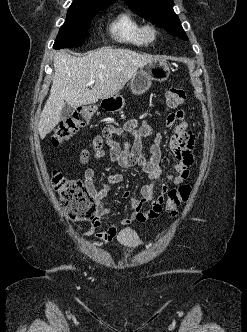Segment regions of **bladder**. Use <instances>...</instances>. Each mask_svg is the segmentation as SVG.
Wrapping results in <instances>:
<instances>
[{
  "label": "bladder",
  "mask_w": 247,
  "mask_h": 332,
  "mask_svg": "<svg viewBox=\"0 0 247 332\" xmlns=\"http://www.w3.org/2000/svg\"><path fill=\"white\" fill-rule=\"evenodd\" d=\"M127 244L129 245H134L137 242V237L136 236H130L127 238Z\"/></svg>",
  "instance_id": "31cf9c89"
}]
</instances>
